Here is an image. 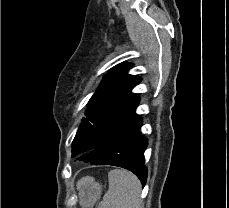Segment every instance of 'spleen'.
Wrapping results in <instances>:
<instances>
[{
  "mask_svg": "<svg viewBox=\"0 0 229 208\" xmlns=\"http://www.w3.org/2000/svg\"><path fill=\"white\" fill-rule=\"evenodd\" d=\"M109 190L99 208H143L140 180L127 170H111Z\"/></svg>",
  "mask_w": 229,
  "mask_h": 208,
  "instance_id": "3e777b00",
  "label": "spleen"
}]
</instances>
